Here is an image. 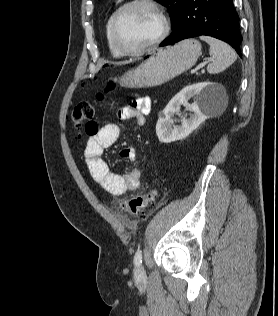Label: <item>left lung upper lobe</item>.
<instances>
[{
  "mask_svg": "<svg viewBox=\"0 0 278 316\" xmlns=\"http://www.w3.org/2000/svg\"><path fill=\"white\" fill-rule=\"evenodd\" d=\"M168 9L173 27L175 26L184 0H156Z\"/></svg>",
  "mask_w": 278,
  "mask_h": 316,
  "instance_id": "1",
  "label": "left lung upper lobe"
}]
</instances>
